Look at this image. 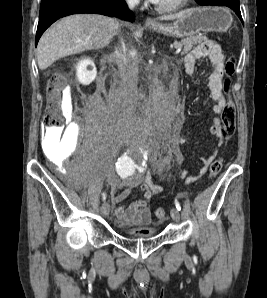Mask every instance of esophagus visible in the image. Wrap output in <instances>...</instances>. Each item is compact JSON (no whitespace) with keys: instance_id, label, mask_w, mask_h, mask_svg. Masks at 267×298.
Returning a JSON list of instances; mask_svg holds the SVG:
<instances>
[{"instance_id":"esophagus-1","label":"esophagus","mask_w":267,"mask_h":298,"mask_svg":"<svg viewBox=\"0 0 267 298\" xmlns=\"http://www.w3.org/2000/svg\"><path fill=\"white\" fill-rule=\"evenodd\" d=\"M145 24L147 26H154V25L157 24V22L154 19H152V18H147L146 21H145Z\"/></svg>"}]
</instances>
